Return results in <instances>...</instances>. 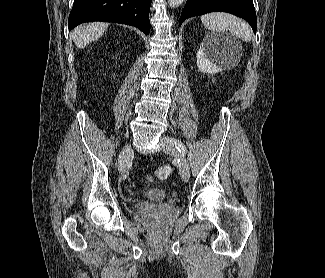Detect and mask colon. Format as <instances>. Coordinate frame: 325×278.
<instances>
[{
	"label": "colon",
	"mask_w": 325,
	"mask_h": 278,
	"mask_svg": "<svg viewBox=\"0 0 325 278\" xmlns=\"http://www.w3.org/2000/svg\"><path fill=\"white\" fill-rule=\"evenodd\" d=\"M172 174V167L170 165H163L156 169L155 171V177L158 180H166L168 179Z\"/></svg>",
	"instance_id": "5ec220e1"
}]
</instances>
